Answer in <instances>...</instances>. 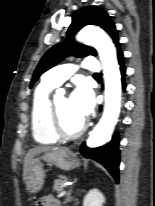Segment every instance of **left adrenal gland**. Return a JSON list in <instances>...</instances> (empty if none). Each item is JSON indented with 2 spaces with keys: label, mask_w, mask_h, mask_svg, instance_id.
Listing matches in <instances>:
<instances>
[{
  "label": "left adrenal gland",
  "mask_w": 155,
  "mask_h": 206,
  "mask_svg": "<svg viewBox=\"0 0 155 206\" xmlns=\"http://www.w3.org/2000/svg\"><path fill=\"white\" fill-rule=\"evenodd\" d=\"M70 194H71V192H69V193L67 194V201H70Z\"/></svg>",
  "instance_id": "obj_1"
}]
</instances>
